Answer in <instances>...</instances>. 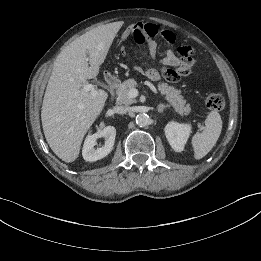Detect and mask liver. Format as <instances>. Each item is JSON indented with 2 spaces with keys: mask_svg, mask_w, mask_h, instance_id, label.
I'll return each instance as SVG.
<instances>
[{
  "mask_svg": "<svg viewBox=\"0 0 261 261\" xmlns=\"http://www.w3.org/2000/svg\"><path fill=\"white\" fill-rule=\"evenodd\" d=\"M119 30L116 24L81 35L57 56L41 108L45 138L52 151L69 163L79 155L83 138L102 112L108 93L84 91L95 78Z\"/></svg>",
  "mask_w": 261,
  "mask_h": 261,
  "instance_id": "liver-1",
  "label": "liver"
}]
</instances>
